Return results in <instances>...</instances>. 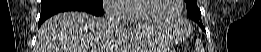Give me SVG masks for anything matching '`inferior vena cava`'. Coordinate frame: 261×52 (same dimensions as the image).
<instances>
[{
  "label": "inferior vena cava",
  "mask_w": 261,
  "mask_h": 52,
  "mask_svg": "<svg viewBox=\"0 0 261 52\" xmlns=\"http://www.w3.org/2000/svg\"><path fill=\"white\" fill-rule=\"evenodd\" d=\"M106 20L108 24L112 25L113 27L120 25V21L115 14L108 13V15L106 16Z\"/></svg>",
  "instance_id": "602c4592"
}]
</instances>
